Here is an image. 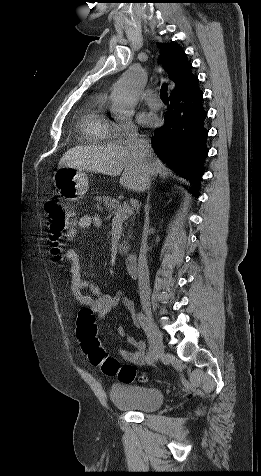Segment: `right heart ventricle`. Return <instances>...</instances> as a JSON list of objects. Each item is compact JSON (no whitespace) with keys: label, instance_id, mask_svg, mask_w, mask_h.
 <instances>
[{"label":"right heart ventricle","instance_id":"obj_1","mask_svg":"<svg viewBox=\"0 0 261 476\" xmlns=\"http://www.w3.org/2000/svg\"><path fill=\"white\" fill-rule=\"evenodd\" d=\"M81 126L89 142L101 143L111 138L112 125L105 114L103 97H96L88 104Z\"/></svg>","mask_w":261,"mask_h":476}]
</instances>
